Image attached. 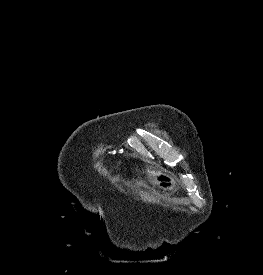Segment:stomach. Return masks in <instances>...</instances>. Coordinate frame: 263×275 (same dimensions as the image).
Segmentation results:
<instances>
[{"instance_id": "0dacf381", "label": "stomach", "mask_w": 263, "mask_h": 275, "mask_svg": "<svg viewBox=\"0 0 263 275\" xmlns=\"http://www.w3.org/2000/svg\"><path fill=\"white\" fill-rule=\"evenodd\" d=\"M151 177L154 178L157 185L165 191H172L176 187V182L174 178L168 174L157 172L155 174H152Z\"/></svg>"}]
</instances>
